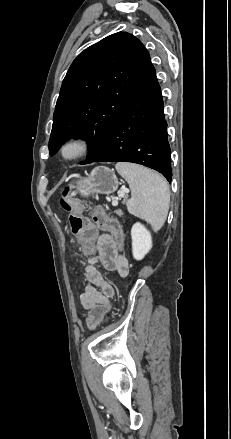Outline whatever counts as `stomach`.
<instances>
[{"label":"stomach","mask_w":231,"mask_h":439,"mask_svg":"<svg viewBox=\"0 0 231 439\" xmlns=\"http://www.w3.org/2000/svg\"><path fill=\"white\" fill-rule=\"evenodd\" d=\"M119 182L112 170L107 167H97L87 174L86 177H79L74 188L83 197L94 194L110 195L118 188Z\"/></svg>","instance_id":"1"}]
</instances>
